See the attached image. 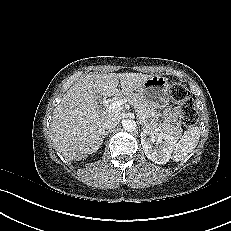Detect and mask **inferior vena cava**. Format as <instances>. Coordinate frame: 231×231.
I'll list each match as a JSON object with an SVG mask.
<instances>
[{"instance_id":"1","label":"inferior vena cava","mask_w":231,"mask_h":231,"mask_svg":"<svg viewBox=\"0 0 231 231\" xmlns=\"http://www.w3.org/2000/svg\"><path fill=\"white\" fill-rule=\"evenodd\" d=\"M119 122V119L115 116H109L104 121V127L107 130L114 128Z\"/></svg>"}]
</instances>
